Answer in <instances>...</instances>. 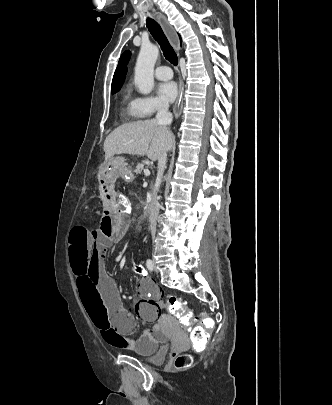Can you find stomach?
Here are the masks:
<instances>
[{
    "label": "stomach",
    "instance_id": "1",
    "mask_svg": "<svg viewBox=\"0 0 332 405\" xmlns=\"http://www.w3.org/2000/svg\"><path fill=\"white\" fill-rule=\"evenodd\" d=\"M113 159H116V161H117V166H118V171L119 172H125V171L128 170L125 158L116 157V158H113Z\"/></svg>",
    "mask_w": 332,
    "mask_h": 405
}]
</instances>
